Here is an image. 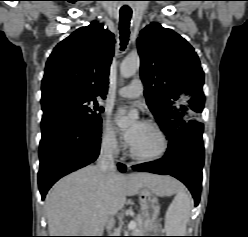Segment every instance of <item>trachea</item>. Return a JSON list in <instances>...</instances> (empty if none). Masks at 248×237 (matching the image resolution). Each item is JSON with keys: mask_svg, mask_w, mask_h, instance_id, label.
I'll list each match as a JSON object with an SVG mask.
<instances>
[{"mask_svg": "<svg viewBox=\"0 0 248 237\" xmlns=\"http://www.w3.org/2000/svg\"><path fill=\"white\" fill-rule=\"evenodd\" d=\"M132 16V10L128 8L120 9V22H119V29H120V40H121V50L126 48V45L129 40V26H130V19Z\"/></svg>", "mask_w": 248, "mask_h": 237, "instance_id": "1", "label": "trachea"}]
</instances>
